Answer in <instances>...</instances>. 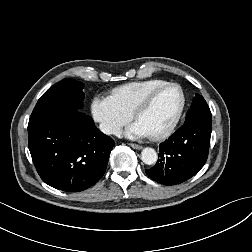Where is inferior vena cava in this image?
Here are the masks:
<instances>
[{
  "instance_id": "602c4592",
  "label": "inferior vena cava",
  "mask_w": 252,
  "mask_h": 252,
  "mask_svg": "<svg viewBox=\"0 0 252 252\" xmlns=\"http://www.w3.org/2000/svg\"><path fill=\"white\" fill-rule=\"evenodd\" d=\"M100 129L105 134H117L119 133V128L117 126H111L109 124H102Z\"/></svg>"
}]
</instances>
